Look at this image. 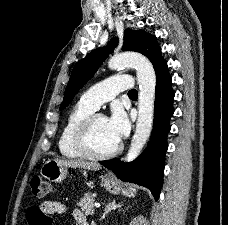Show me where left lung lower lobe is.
<instances>
[{"mask_svg":"<svg viewBox=\"0 0 228 225\" xmlns=\"http://www.w3.org/2000/svg\"><path fill=\"white\" fill-rule=\"evenodd\" d=\"M154 69L157 76L154 125L147 148L131 163L125 164L117 158L99 163L112 170L119 179L148 188L155 200H158L163 183L165 153L168 147L169 119L174 113V92L166 61L162 59L154 66Z\"/></svg>","mask_w":228,"mask_h":225,"instance_id":"1","label":"left lung lower lobe"}]
</instances>
